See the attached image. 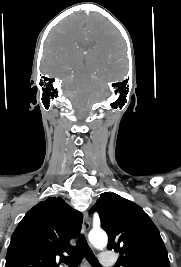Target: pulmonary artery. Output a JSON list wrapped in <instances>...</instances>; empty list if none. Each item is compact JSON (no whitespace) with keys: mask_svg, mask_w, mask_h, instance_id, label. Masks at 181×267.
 I'll return each instance as SVG.
<instances>
[{"mask_svg":"<svg viewBox=\"0 0 181 267\" xmlns=\"http://www.w3.org/2000/svg\"><path fill=\"white\" fill-rule=\"evenodd\" d=\"M99 262L103 267H110L114 263V258L106 253L101 254Z\"/></svg>","mask_w":181,"mask_h":267,"instance_id":"obj_1","label":"pulmonary artery"}]
</instances>
